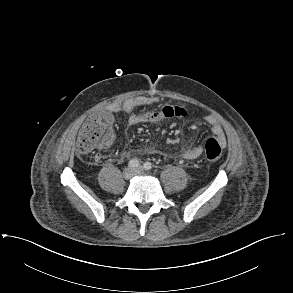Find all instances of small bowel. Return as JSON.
I'll return each instance as SVG.
<instances>
[{"instance_id": "small-bowel-1", "label": "small bowel", "mask_w": 293, "mask_h": 293, "mask_svg": "<svg viewBox=\"0 0 293 293\" xmlns=\"http://www.w3.org/2000/svg\"><path fill=\"white\" fill-rule=\"evenodd\" d=\"M153 102V100L146 96H139L131 99H127L123 103L120 104H111L108 107L109 112L114 114H125L128 118V122L130 125H137L141 123H152L157 122L159 120L158 117H140L134 113V111L142 106L149 105ZM204 122L209 126L210 131L216 139L219 144L222 147H225L227 144V139L224 134L222 126L219 124V122L213 117V116H205ZM203 153V147L202 146H195L188 148L183 151L182 156L185 159H196ZM100 159V156L97 155L95 157V162H98Z\"/></svg>"}]
</instances>
